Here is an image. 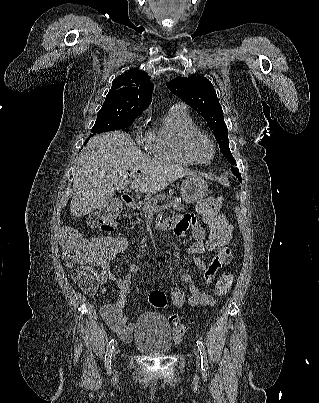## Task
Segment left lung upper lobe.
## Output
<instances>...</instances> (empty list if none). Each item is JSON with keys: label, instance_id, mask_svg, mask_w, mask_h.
<instances>
[{"label": "left lung upper lobe", "instance_id": "5c2ea615", "mask_svg": "<svg viewBox=\"0 0 319 403\" xmlns=\"http://www.w3.org/2000/svg\"><path fill=\"white\" fill-rule=\"evenodd\" d=\"M166 86L208 122L221 153L231 165H236L229 149L228 130L224 122L223 110L212 83L202 76H190L188 78H175L166 83ZM231 171L241 181L239 170L232 167Z\"/></svg>", "mask_w": 319, "mask_h": 403}]
</instances>
